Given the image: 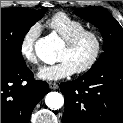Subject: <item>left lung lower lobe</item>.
I'll return each instance as SVG.
<instances>
[{
    "label": "left lung lower lobe",
    "instance_id": "left-lung-lower-lobe-1",
    "mask_svg": "<svg viewBox=\"0 0 123 123\" xmlns=\"http://www.w3.org/2000/svg\"><path fill=\"white\" fill-rule=\"evenodd\" d=\"M62 123H123V60H113L60 84Z\"/></svg>",
    "mask_w": 123,
    "mask_h": 123
}]
</instances>
